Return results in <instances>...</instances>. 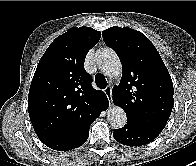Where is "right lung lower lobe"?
<instances>
[{
    "mask_svg": "<svg viewBox=\"0 0 196 166\" xmlns=\"http://www.w3.org/2000/svg\"><path fill=\"white\" fill-rule=\"evenodd\" d=\"M109 103L107 100L102 101L92 111L91 120L89 125L80 132L75 134H55L39 137V139L49 148L57 151H69L78 148L88 139L89 128L91 123L99 117L100 113L107 109Z\"/></svg>",
    "mask_w": 196,
    "mask_h": 166,
    "instance_id": "98d812e1",
    "label": "right lung lower lobe"
}]
</instances>
